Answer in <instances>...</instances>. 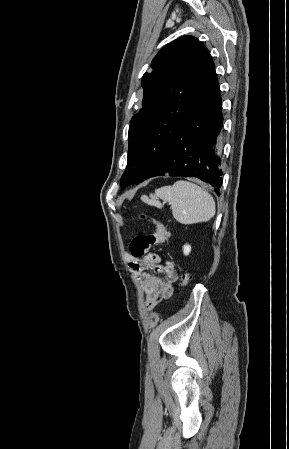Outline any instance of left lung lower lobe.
Masks as SVG:
<instances>
[{"mask_svg": "<svg viewBox=\"0 0 289 449\" xmlns=\"http://www.w3.org/2000/svg\"><path fill=\"white\" fill-rule=\"evenodd\" d=\"M222 127L220 88L214 67L194 108L167 138L166 157L155 176L169 173L170 176L196 177L215 186L219 195L222 186L219 145Z\"/></svg>", "mask_w": 289, "mask_h": 449, "instance_id": "left-lung-lower-lobe-1", "label": "left lung lower lobe"}]
</instances>
